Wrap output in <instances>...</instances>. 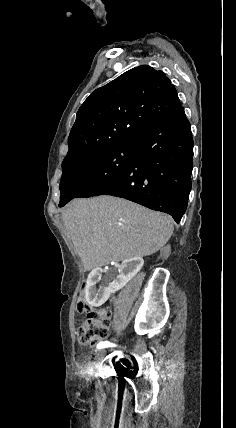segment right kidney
<instances>
[{"label":"right kidney","mask_w":236,"mask_h":428,"mask_svg":"<svg viewBox=\"0 0 236 428\" xmlns=\"http://www.w3.org/2000/svg\"><path fill=\"white\" fill-rule=\"evenodd\" d=\"M142 266H144V260L141 256H132L129 260H124L119 268V276L115 280L114 288L112 284L96 283L98 282L97 278L104 277L105 273L103 269H91L85 290L88 304H91V306H102L106 300L104 292L124 288L140 272ZM94 288L96 292L93 293Z\"/></svg>","instance_id":"ca27d5eb"}]
</instances>
